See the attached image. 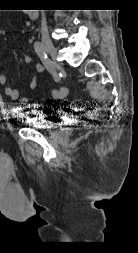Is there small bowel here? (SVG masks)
<instances>
[{
    "label": "small bowel",
    "mask_w": 138,
    "mask_h": 253,
    "mask_svg": "<svg viewBox=\"0 0 138 253\" xmlns=\"http://www.w3.org/2000/svg\"><path fill=\"white\" fill-rule=\"evenodd\" d=\"M0 61H1V57H0ZM23 61L26 63V64H30L32 62V57L25 53L24 56H23ZM45 71V66L43 64H36L35 65V68H34V73L32 75V77L30 78V81H29V87L31 89H35L37 88L38 86V75L39 74H42L43 72ZM0 84L4 86V90H5V94L12 100H19L20 99V93L19 91L10 86V85H7V80H6V77L0 67ZM20 102L22 105H27L28 104V98L27 97H23L20 99Z\"/></svg>",
    "instance_id": "obj_1"
}]
</instances>
